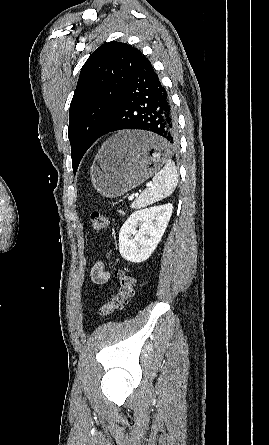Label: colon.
I'll return each mask as SVG.
<instances>
[{
  "instance_id": "obj_1",
  "label": "colon",
  "mask_w": 269,
  "mask_h": 445,
  "mask_svg": "<svg viewBox=\"0 0 269 445\" xmlns=\"http://www.w3.org/2000/svg\"><path fill=\"white\" fill-rule=\"evenodd\" d=\"M92 228L95 231H103L108 227V217L99 212H93L90 216ZM114 273L119 280V290L107 303L103 304L98 311L99 317H106L114 310L121 309L133 296L136 280L123 268H115Z\"/></svg>"
}]
</instances>
